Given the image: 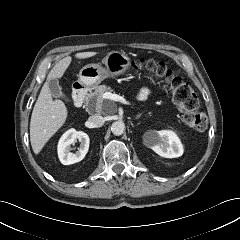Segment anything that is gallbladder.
Here are the masks:
<instances>
[{
  "instance_id": "obj_1",
  "label": "gallbladder",
  "mask_w": 240,
  "mask_h": 240,
  "mask_svg": "<svg viewBox=\"0 0 240 240\" xmlns=\"http://www.w3.org/2000/svg\"><path fill=\"white\" fill-rule=\"evenodd\" d=\"M48 86H49L50 93L53 97L63 98L66 101H68V98L62 92L61 87H60L57 79H51L48 83Z\"/></svg>"
}]
</instances>
